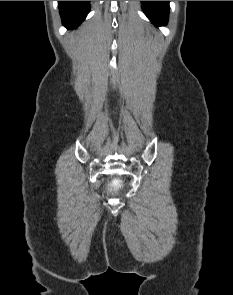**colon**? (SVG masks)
Segmentation results:
<instances>
[{
  "instance_id": "5ec220e1",
  "label": "colon",
  "mask_w": 233,
  "mask_h": 295,
  "mask_svg": "<svg viewBox=\"0 0 233 295\" xmlns=\"http://www.w3.org/2000/svg\"><path fill=\"white\" fill-rule=\"evenodd\" d=\"M118 186H119V184L115 183L114 186H113V188L115 189V188H117Z\"/></svg>"
}]
</instances>
